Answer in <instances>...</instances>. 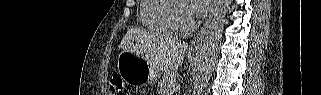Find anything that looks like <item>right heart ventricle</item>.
<instances>
[{"label": "right heart ventricle", "mask_w": 321, "mask_h": 95, "mask_svg": "<svg viewBox=\"0 0 321 95\" xmlns=\"http://www.w3.org/2000/svg\"><path fill=\"white\" fill-rule=\"evenodd\" d=\"M172 0H143L140 5V19L149 31L156 34L173 32L166 21V10Z\"/></svg>", "instance_id": "right-heart-ventricle-1"}]
</instances>
